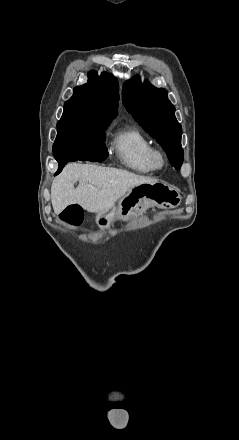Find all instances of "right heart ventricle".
<instances>
[{"instance_id": "right-heart-ventricle-1", "label": "right heart ventricle", "mask_w": 239, "mask_h": 440, "mask_svg": "<svg viewBox=\"0 0 239 440\" xmlns=\"http://www.w3.org/2000/svg\"><path fill=\"white\" fill-rule=\"evenodd\" d=\"M111 147L118 162L127 169L141 174L156 171L151 158L153 144L141 130L130 127L116 131Z\"/></svg>"}]
</instances>
